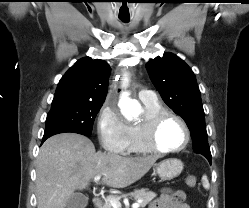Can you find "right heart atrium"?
<instances>
[{
    "label": "right heart atrium",
    "mask_w": 249,
    "mask_h": 208,
    "mask_svg": "<svg viewBox=\"0 0 249 208\" xmlns=\"http://www.w3.org/2000/svg\"><path fill=\"white\" fill-rule=\"evenodd\" d=\"M97 134L105 150L116 154L126 153L127 125L118 110L109 103H105L99 111Z\"/></svg>",
    "instance_id": "obj_1"
}]
</instances>
